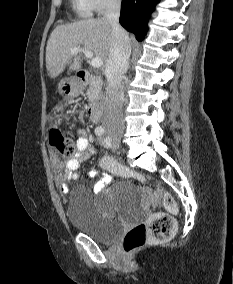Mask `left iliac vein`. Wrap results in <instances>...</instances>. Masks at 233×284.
<instances>
[{
    "label": "left iliac vein",
    "mask_w": 233,
    "mask_h": 284,
    "mask_svg": "<svg viewBox=\"0 0 233 284\" xmlns=\"http://www.w3.org/2000/svg\"><path fill=\"white\" fill-rule=\"evenodd\" d=\"M120 146V140L118 138L110 139V147L117 149Z\"/></svg>",
    "instance_id": "obj_1"
}]
</instances>
